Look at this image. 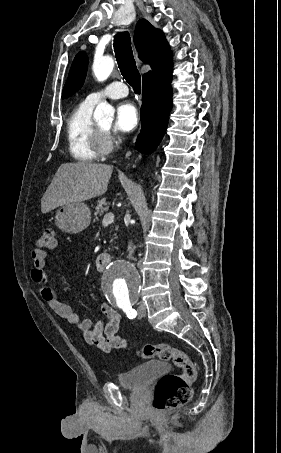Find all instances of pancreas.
<instances>
[{"instance_id":"1","label":"pancreas","mask_w":281,"mask_h":453,"mask_svg":"<svg viewBox=\"0 0 281 453\" xmlns=\"http://www.w3.org/2000/svg\"><path fill=\"white\" fill-rule=\"evenodd\" d=\"M94 210V214L96 216V218H98V216H101V214H103L104 210H109V206H107V202H105V198H101V200H98L96 206H93Z\"/></svg>"}]
</instances>
